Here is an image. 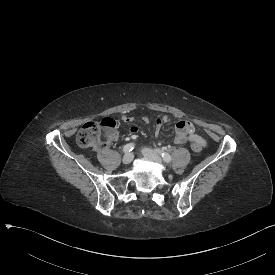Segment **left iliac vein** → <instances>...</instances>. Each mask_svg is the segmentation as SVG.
I'll use <instances>...</instances> for the list:
<instances>
[{
    "instance_id": "obj_1",
    "label": "left iliac vein",
    "mask_w": 275,
    "mask_h": 275,
    "mask_svg": "<svg viewBox=\"0 0 275 275\" xmlns=\"http://www.w3.org/2000/svg\"><path fill=\"white\" fill-rule=\"evenodd\" d=\"M141 153L146 159H148L152 162H155V163H158V164L162 163L161 156L157 152L153 151L152 149L143 148L141 150Z\"/></svg>"
}]
</instances>
